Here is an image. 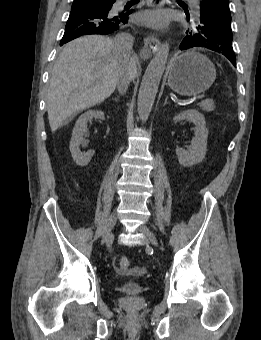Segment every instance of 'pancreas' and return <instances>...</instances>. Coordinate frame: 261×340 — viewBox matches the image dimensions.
Wrapping results in <instances>:
<instances>
[{
  "label": "pancreas",
  "mask_w": 261,
  "mask_h": 340,
  "mask_svg": "<svg viewBox=\"0 0 261 340\" xmlns=\"http://www.w3.org/2000/svg\"><path fill=\"white\" fill-rule=\"evenodd\" d=\"M199 105L200 107H202V110L206 112H211V111H214L215 109V104L213 100L211 99H206L202 101L201 103H199Z\"/></svg>",
  "instance_id": "obj_1"
}]
</instances>
